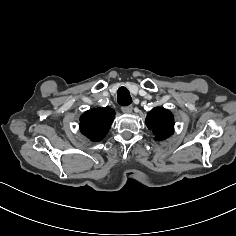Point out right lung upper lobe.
<instances>
[{"instance_id":"cb5924a9","label":"right lung upper lobe","mask_w":236,"mask_h":236,"mask_svg":"<svg viewBox=\"0 0 236 236\" xmlns=\"http://www.w3.org/2000/svg\"><path fill=\"white\" fill-rule=\"evenodd\" d=\"M114 117L115 112L109 107L88 110L80 117V131L90 140L100 141L109 131Z\"/></svg>"}]
</instances>
